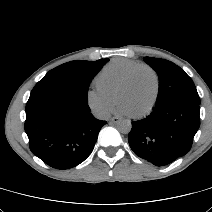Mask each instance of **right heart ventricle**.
Instances as JSON below:
<instances>
[{
  "instance_id": "obj_1",
  "label": "right heart ventricle",
  "mask_w": 212,
  "mask_h": 212,
  "mask_svg": "<svg viewBox=\"0 0 212 212\" xmlns=\"http://www.w3.org/2000/svg\"><path fill=\"white\" fill-rule=\"evenodd\" d=\"M139 65V62L129 59H115L107 64L97 77V84L103 91L116 95L129 73Z\"/></svg>"
}]
</instances>
